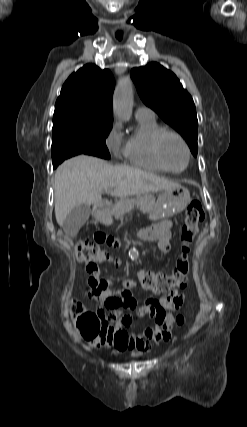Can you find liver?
I'll return each instance as SVG.
<instances>
[{"instance_id": "obj_1", "label": "liver", "mask_w": 247, "mask_h": 427, "mask_svg": "<svg viewBox=\"0 0 247 427\" xmlns=\"http://www.w3.org/2000/svg\"><path fill=\"white\" fill-rule=\"evenodd\" d=\"M55 216L62 226L77 205H96L102 192L125 197L178 186L166 178L129 166H113L100 158L80 155L64 161L55 176Z\"/></svg>"}]
</instances>
